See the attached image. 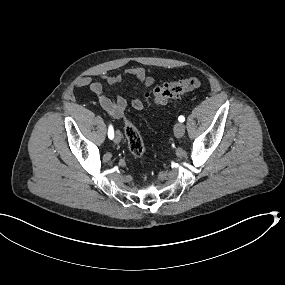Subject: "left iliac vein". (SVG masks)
I'll use <instances>...</instances> for the list:
<instances>
[{"label":"left iliac vein","mask_w":285,"mask_h":285,"mask_svg":"<svg viewBox=\"0 0 285 285\" xmlns=\"http://www.w3.org/2000/svg\"><path fill=\"white\" fill-rule=\"evenodd\" d=\"M185 133V126L182 123H176L174 126V134L176 137L180 138Z\"/></svg>","instance_id":"4c4485c4"}]
</instances>
